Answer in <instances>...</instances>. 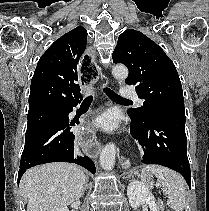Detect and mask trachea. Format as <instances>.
<instances>
[{"mask_svg": "<svg viewBox=\"0 0 209 211\" xmlns=\"http://www.w3.org/2000/svg\"><path fill=\"white\" fill-rule=\"evenodd\" d=\"M104 91L106 92L107 96L114 101H126V102H131L130 100L124 99L121 96H119L118 94H116L114 91H112L109 88H105ZM93 97L92 96H88L85 101H90L92 100Z\"/></svg>", "mask_w": 209, "mask_h": 211, "instance_id": "obj_1", "label": "trachea"}]
</instances>
